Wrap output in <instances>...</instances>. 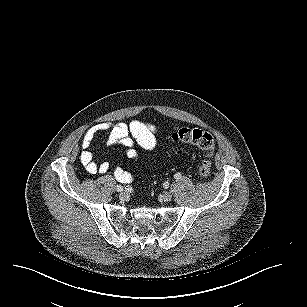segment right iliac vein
<instances>
[{
  "label": "right iliac vein",
  "instance_id": "1",
  "mask_svg": "<svg viewBox=\"0 0 307 307\" xmlns=\"http://www.w3.org/2000/svg\"><path fill=\"white\" fill-rule=\"evenodd\" d=\"M127 197H128L127 191H121V193H120V195H119V199H120L121 201H125V200L127 199Z\"/></svg>",
  "mask_w": 307,
  "mask_h": 307
}]
</instances>
